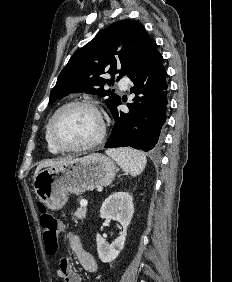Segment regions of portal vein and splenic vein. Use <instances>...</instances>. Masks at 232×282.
Returning <instances> with one entry per match:
<instances>
[{
    "label": "portal vein and splenic vein",
    "mask_w": 232,
    "mask_h": 282,
    "mask_svg": "<svg viewBox=\"0 0 232 282\" xmlns=\"http://www.w3.org/2000/svg\"><path fill=\"white\" fill-rule=\"evenodd\" d=\"M80 205H81V207H86L88 205V201L83 199V200L80 201Z\"/></svg>",
    "instance_id": "18ae733b"
}]
</instances>
